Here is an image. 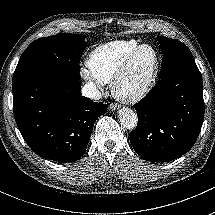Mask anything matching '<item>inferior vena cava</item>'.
I'll list each match as a JSON object with an SVG mask.
<instances>
[{"label":"inferior vena cava","instance_id":"602c4592","mask_svg":"<svg viewBox=\"0 0 215 215\" xmlns=\"http://www.w3.org/2000/svg\"><path fill=\"white\" fill-rule=\"evenodd\" d=\"M84 97L92 100H100L102 95L94 82H87L81 90Z\"/></svg>","mask_w":215,"mask_h":215}]
</instances>
